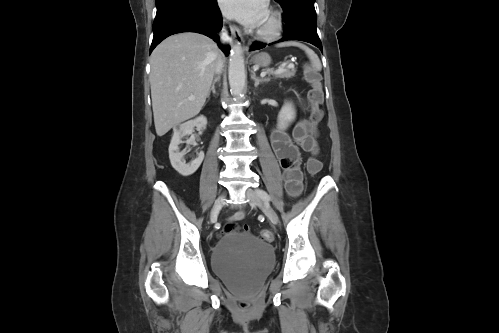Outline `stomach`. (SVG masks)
I'll return each instance as SVG.
<instances>
[{
    "mask_svg": "<svg viewBox=\"0 0 499 333\" xmlns=\"http://www.w3.org/2000/svg\"><path fill=\"white\" fill-rule=\"evenodd\" d=\"M252 62L260 67H268L271 63V57L268 53L262 52L252 58Z\"/></svg>",
    "mask_w": 499,
    "mask_h": 333,
    "instance_id": "stomach-1",
    "label": "stomach"
}]
</instances>
